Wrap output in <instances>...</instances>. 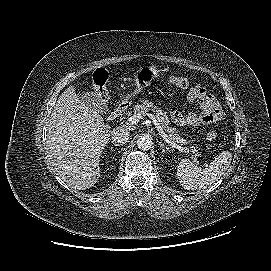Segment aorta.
I'll use <instances>...</instances> for the list:
<instances>
[{
    "label": "aorta",
    "mask_w": 271,
    "mask_h": 271,
    "mask_svg": "<svg viewBox=\"0 0 271 271\" xmlns=\"http://www.w3.org/2000/svg\"><path fill=\"white\" fill-rule=\"evenodd\" d=\"M152 144H153V142H152L151 137H149L147 135H142L137 140V147L140 150L147 151L152 147Z\"/></svg>",
    "instance_id": "762f6f07"
}]
</instances>
